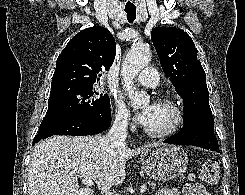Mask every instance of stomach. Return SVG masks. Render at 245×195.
<instances>
[{
	"mask_svg": "<svg viewBox=\"0 0 245 195\" xmlns=\"http://www.w3.org/2000/svg\"><path fill=\"white\" fill-rule=\"evenodd\" d=\"M140 161L149 177L170 181L186 172L188 157L179 146L157 144L142 151Z\"/></svg>",
	"mask_w": 245,
	"mask_h": 195,
	"instance_id": "obj_1",
	"label": "stomach"
}]
</instances>
